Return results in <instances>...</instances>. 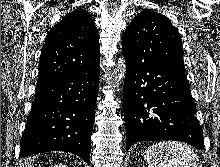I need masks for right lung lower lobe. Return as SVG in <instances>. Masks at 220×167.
Listing matches in <instances>:
<instances>
[{
  "label": "right lung lower lobe",
  "instance_id": "1",
  "mask_svg": "<svg viewBox=\"0 0 220 167\" xmlns=\"http://www.w3.org/2000/svg\"><path fill=\"white\" fill-rule=\"evenodd\" d=\"M98 88L99 64L39 84L20 142L21 157L65 151L89 164Z\"/></svg>",
  "mask_w": 220,
  "mask_h": 167
}]
</instances>
